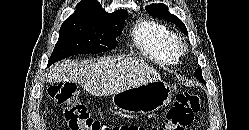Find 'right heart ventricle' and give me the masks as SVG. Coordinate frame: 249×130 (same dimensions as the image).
<instances>
[{"label":"right heart ventricle","mask_w":249,"mask_h":130,"mask_svg":"<svg viewBox=\"0 0 249 130\" xmlns=\"http://www.w3.org/2000/svg\"><path fill=\"white\" fill-rule=\"evenodd\" d=\"M135 45L149 58L163 64L178 61V37L165 25L150 19L139 20L132 31Z\"/></svg>","instance_id":"right-heart-ventricle-1"}]
</instances>
